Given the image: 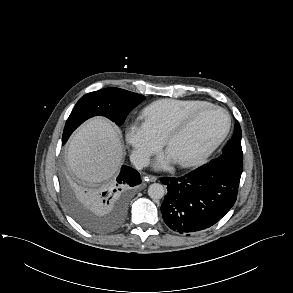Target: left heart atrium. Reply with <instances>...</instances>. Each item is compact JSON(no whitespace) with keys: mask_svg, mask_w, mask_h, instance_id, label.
<instances>
[{"mask_svg":"<svg viewBox=\"0 0 293 293\" xmlns=\"http://www.w3.org/2000/svg\"><path fill=\"white\" fill-rule=\"evenodd\" d=\"M175 160L172 155L169 153V150L161 153L154 162L156 168L164 169L167 168Z\"/></svg>","mask_w":293,"mask_h":293,"instance_id":"left-heart-atrium-1","label":"left heart atrium"}]
</instances>
